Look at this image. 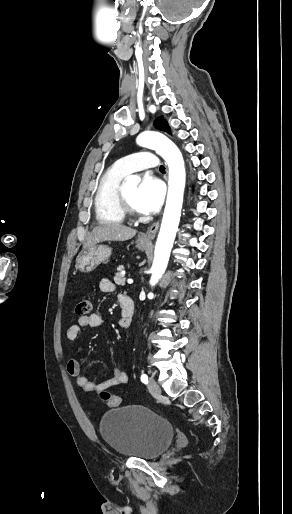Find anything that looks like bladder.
<instances>
[{
  "label": "bladder",
  "instance_id": "obj_1",
  "mask_svg": "<svg viewBox=\"0 0 292 514\" xmlns=\"http://www.w3.org/2000/svg\"><path fill=\"white\" fill-rule=\"evenodd\" d=\"M99 433L116 454L143 460L159 456L175 437L168 420L138 405L106 412L99 422Z\"/></svg>",
  "mask_w": 292,
  "mask_h": 514
}]
</instances>
